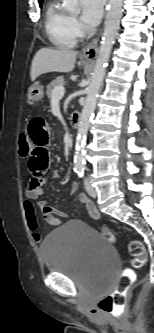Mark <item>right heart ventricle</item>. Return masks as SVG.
I'll return each mask as SVG.
<instances>
[{
	"label": "right heart ventricle",
	"instance_id": "1",
	"mask_svg": "<svg viewBox=\"0 0 154 333\" xmlns=\"http://www.w3.org/2000/svg\"><path fill=\"white\" fill-rule=\"evenodd\" d=\"M45 29L49 40L57 48H71L78 42V36L71 26V16L62 8L59 0H52L47 7Z\"/></svg>",
	"mask_w": 154,
	"mask_h": 333
}]
</instances>
